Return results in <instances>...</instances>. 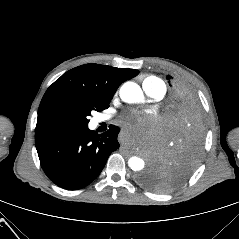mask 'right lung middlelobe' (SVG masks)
Wrapping results in <instances>:
<instances>
[{
  "instance_id": "1",
  "label": "right lung middle lobe",
  "mask_w": 239,
  "mask_h": 239,
  "mask_svg": "<svg viewBox=\"0 0 239 239\" xmlns=\"http://www.w3.org/2000/svg\"><path fill=\"white\" fill-rule=\"evenodd\" d=\"M108 107H89L84 111L76 114H63L51 119L46 127L47 132L68 129L88 125V116L92 110L102 111Z\"/></svg>"
}]
</instances>
